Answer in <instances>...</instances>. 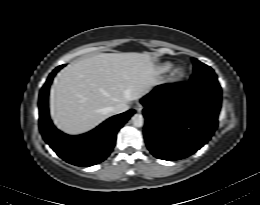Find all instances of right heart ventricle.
Returning <instances> with one entry per match:
<instances>
[{"label":"right heart ventricle","mask_w":260,"mask_h":205,"mask_svg":"<svg viewBox=\"0 0 260 205\" xmlns=\"http://www.w3.org/2000/svg\"><path fill=\"white\" fill-rule=\"evenodd\" d=\"M173 65L171 63H164L159 67L160 73H167L172 69Z\"/></svg>","instance_id":"1"}]
</instances>
